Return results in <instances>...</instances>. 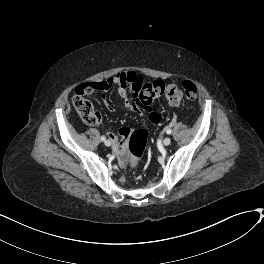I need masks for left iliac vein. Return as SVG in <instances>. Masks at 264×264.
I'll use <instances>...</instances> for the list:
<instances>
[{
  "mask_svg": "<svg viewBox=\"0 0 264 264\" xmlns=\"http://www.w3.org/2000/svg\"><path fill=\"white\" fill-rule=\"evenodd\" d=\"M170 143H171V138H169V137H166V138L163 140V144H164L165 146L170 145Z\"/></svg>",
  "mask_w": 264,
  "mask_h": 264,
  "instance_id": "1",
  "label": "left iliac vein"
}]
</instances>
